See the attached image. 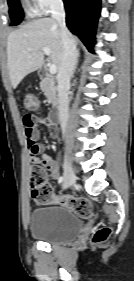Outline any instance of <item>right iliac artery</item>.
I'll return each instance as SVG.
<instances>
[{
	"label": "right iliac artery",
	"instance_id": "right-iliac-artery-1",
	"mask_svg": "<svg viewBox=\"0 0 134 281\" xmlns=\"http://www.w3.org/2000/svg\"><path fill=\"white\" fill-rule=\"evenodd\" d=\"M63 181H64V176L62 175V176L59 178L58 183L60 184V183H62Z\"/></svg>",
	"mask_w": 134,
	"mask_h": 281
}]
</instances>
